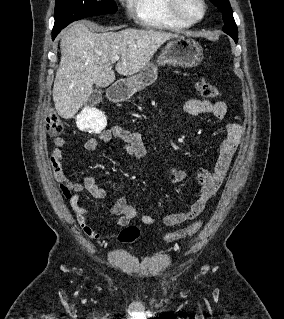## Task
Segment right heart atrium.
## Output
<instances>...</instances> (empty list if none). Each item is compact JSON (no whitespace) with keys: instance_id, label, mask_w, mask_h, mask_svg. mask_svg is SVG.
<instances>
[{"instance_id":"right-heart-atrium-1","label":"right heart atrium","mask_w":284,"mask_h":319,"mask_svg":"<svg viewBox=\"0 0 284 319\" xmlns=\"http://www.w3.org/2000/svg\"><path fill=\"white\" fill-rule=\"evenodd\" d=\"M119 1L125 7V9L127 10L129 14L134 11L133 0H119Z\"/></svg>"}]
</instances>
